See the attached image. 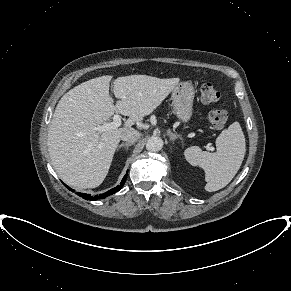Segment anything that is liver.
Listing matches in <instances>:
<instances>
[{"instance_id":"1","label":"liver","mask_w":291,"mask_h":291,"mask_svg":"<svg viewBox=\"0 0 291 291\" xmlns=\"http://www.w3.org/2000/svg\"><path fill=\"white\" fill-rule=\"evenodd\" d=\"M90 79L68 91L58 102L48 130V151L60 178L78 188H95L108 174L121 134L151 114L179 84V78L147 75ZM114 112L128 116L123 127L97 132Z\"/></svg>"}]
</instances>
